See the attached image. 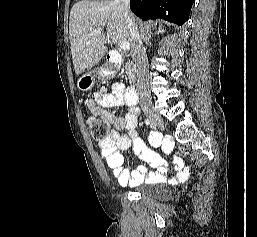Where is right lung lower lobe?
<instances>
[{
  "mask_svg": "<svg viewBox=\"0 0 257 237\" xmlns=\"http://www.w3.org/2000/svg\"><path fill=\"white\" fill-rule=\"evenodd\" d=\"M195 0H130V9L142 20L164 19L183 25Z\"/></svg>",
  "mask_w": 257,
  "mask_h": 237,
  "instance_id": "obj_1",
  "label": "right lung lower lobe"
}]
</instances>
